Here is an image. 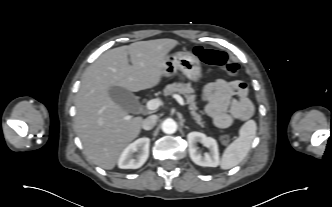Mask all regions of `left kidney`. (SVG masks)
<instances>
[{
    "mask_svg": "<svg viewBox=\"0 0 332 207\" xmlns=\"http://www.w3.org/2000/svg\"><path fill=\"white\" fill-rule=\"evenodd\" d=\"M189 155L191 160L199 165L205 167H217L220 164L218 145L215 139L207 137L200 132H190L187 135ZM202 143L209 149V152L203 156L198 151L197 143Z\"/></svg>",
    "mask_w": 332,
    "mask_h": 207,
    "instance_id": "1",
    "label": "left kidney"
}]
</instances>
